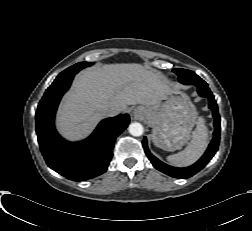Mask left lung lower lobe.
Segmentation results:
<instances>
[{"label":"left lung lower lobe","mask_w":252,"mask_h":231,"mask_svg":"<svg viewBox=\"0 0 252 231\" xmlns=\"http://www.w3.org/2000/svg\"><path fill=\"white\" fill-rule=\"evenodd\" d=\"M187 84H193L197 86V90L200 96L206 97L209 100V108L213 112L214 117V137L211 141V143L208 146V149L204 153V155L193 165L186 167V168H174L172 166L166 165L160 160H158L155 156H153L147 146V139L144 137L142 145L144 147V151L146 155L148 156L149 160L153 164V166L158 169L159 171L180 179H186L188 177L193 176L197 172H199L201 169H203L206 164L212 159V157L215 155V153L218 150L219 146V140H220V116L218 113V107L216 104V101L214 99V96L212 92L210 91L207 83L203 81L201 78L199 79H193L191 81H188Z\"/></svg>","instance_id":"0a47b994"}]
</instances>
